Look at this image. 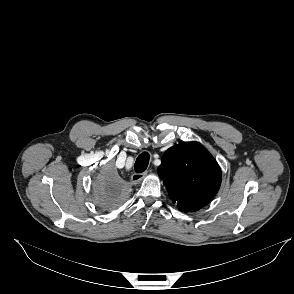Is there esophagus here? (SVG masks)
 <instances>
[{"mask_svg":"<svg viewBox=\"0 0 294 294\" xmlns=\"http://www.w3.org/2000/svg\"><path fill=\"white\" fill-rule=\"evenodd\" d=\"M148 171H144L142 173H134L131 176V182L133 184H138L139 182H141L144 177L147 175Z\"/></svg>","mask_w":294,"mask_h":294,"instance_id":"obj_1","label":"esophagus"}]
</instances>
